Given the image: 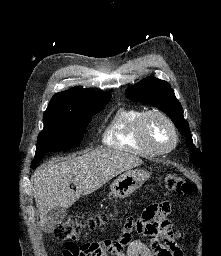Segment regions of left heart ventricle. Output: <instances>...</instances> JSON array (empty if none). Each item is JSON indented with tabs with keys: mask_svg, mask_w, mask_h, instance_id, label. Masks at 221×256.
I'll use <instances>...</instances> for the list:
<instances>
[{
	"mask_svg": "<svg viewBox=\"0 0 221 256\" xmlns=\"http://www.w3.org/2000/svg\"><path fill=\"white\" fill-rule=\"evenodd\" d=\"M145 132L148 140L157 148H166L173 142V134L170 127L158 116H151L147 119Z\"/></svg>",
	"mask_w": 221,
	"mask_h": 256,
	"instance_id": "b2bd125f",
	"label": "left heart ventricle"
}]
</instances>
